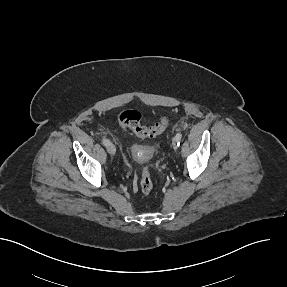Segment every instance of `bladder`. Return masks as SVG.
I'll return each mask as SVG.
<instances>
[{"mask_svg":"<svg viewBox=\"0 0 287 287\" xmlns=\"http://www.w3.org/2000/svg\"><path fill=\"white\" fill-rule=\"evenodd\" d=\"M141 152V155L139 154ZM132 157L137 162H147L152 158L153 150L149 147L133 146L131 149Z\"/></svg>","mask_w":287,"mask_h":287,"instance_id":"obj_1","label":"bladder"}]
</instances>
